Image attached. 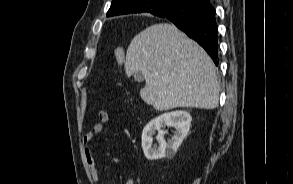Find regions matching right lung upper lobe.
Listing matches in <instances>:
<instances>
[{
    "label": "right lung upper lobe",
    "mask_w": 293,
    "mask_h": 184,
    "mask_svg": "<svg viewBox=\"0 0 293 184\" xmlns=\"http://www.w3.org/2000/svg\"><path fill=\"white\" fill-rule=\"evenodd\" d=\"M158 0H112L111 7L107 16H116L130 13L149 12L153 15H162L169 10L179 6L186 1H196L200 4H209L210 0H167L168 5L164 9L157 10L154 7V2Z\"/></svg>",
    "instance_id": "cb5924a9"
}]
</instances>
